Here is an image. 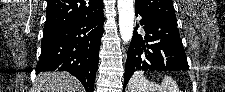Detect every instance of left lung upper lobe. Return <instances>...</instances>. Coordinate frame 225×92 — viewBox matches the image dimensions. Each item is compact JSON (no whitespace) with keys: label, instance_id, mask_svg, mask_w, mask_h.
<instances>
[{"label":"left lung upper lobe","instance_id":"1","mask_svg":"<svg viewBox=\"0 0 225 92\" xmlns=\"http://www.w3.org/2000/svg\"><path fill=\"white\" fill-rule=\"evenodd\" d=\"M135 11L178 26L172 0H135Z\"/></svg>","mask_w":225,"mask_h":92}]
</instances>
